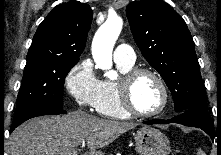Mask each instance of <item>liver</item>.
Listing matches in <instances>:
<instances>
[{
  "instance_id": "liver-1",
  "label": "liver",
  "mask_w": 221,
  "mask_h": 155,
  "mask_svg": "<svg viewBox=\"0 0 221 155\" xmlns=\"http://www.w3.org/2000/svg\"><path fill=\"white\" fill-rule=\"evenodd\" d=\"M135 123L100 119L83 111L62 117H40L14 130L10 137V155H71L86 140L85 155H104L109 145Z\"/></svg>"
}]
</instances>
